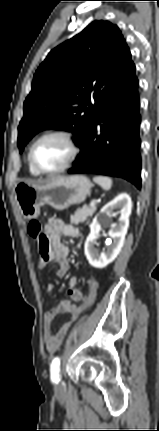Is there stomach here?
<instances>
[{
    "label": "stomach",
    "instance_id": "1",
    "mask_svg": "<svg viewBox=\"0 0 159 431\" xmlns=\"http://www.w3.org/2000/svg\"><path fill=\"white\" fill-rule=\"evenodd\" d=\"M92 184L85 176L56 177L47 184L19 182L15 186V199L25 219L37 218L40 208L49 205L64 210L82 203L90 194Z\"/></svg>",
    "mask_w": 159,
    "mask_h": 431
}]
</instances>
